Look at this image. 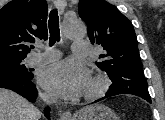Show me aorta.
<instances>
[{"label": "aorta", "mask_w": 165, "mask_h": 120, "mask_svg": "<svg viewBox=\"0 0 165 120\" xmlns=\"http://www.w3.org/2000/svg\"><path fill=\"white\" fill-rule=\"evenodd\" d=\"M63 34L69 39L82 38L86 34L85 24L78 18L67 19L63 23Z\"/></svg>", "instance_id": "aorta-1"}]
</instances>
